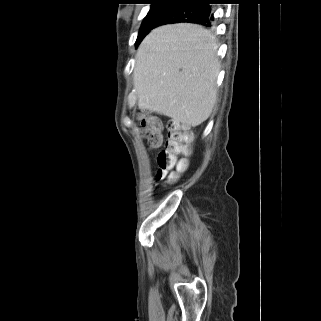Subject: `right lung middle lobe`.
<instances>
[{
  "label": "right lung middle lobe",
  "mask_w": 321,
  "mask_h": 321,
  "mask_svg": "<svg viewBox=\"0 0 321 321\" xmlns=\"http://www.w3.org/2000/svg\"><path fill=\"white\" fill-rule=\"evenodd\" d=\"M172 1H155L152 2L150 11L147 16L144 18L139 35L136 41V46L142 41V39L156 27V24L161 19V17L171 10L175 5Z\"/></svg>",
  "instance_id": "obj_1"
}]
</instances>
